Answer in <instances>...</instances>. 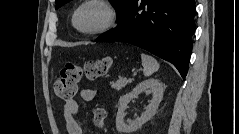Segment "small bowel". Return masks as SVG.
<instances>
[{
	"label": "small bowel",
	"instance_id": "1",
	"mask_svg": "<svg viewBox=\"0 0 239 134\" xmlns=\"http://www.w3.org/2000/svg\"><path fill=\"white\" fill-rule=\"evenodd\" d=\"M96 93L95 89L86 88L81 90L80 96L84 100L90 101L95 98ZM63 111L69 134H84L83 127L80 122L79 104L77 100H67L64 103Z\"/></svg>",
	"mask_w": 239,
	"mask_h": 134
}]
</instances>
